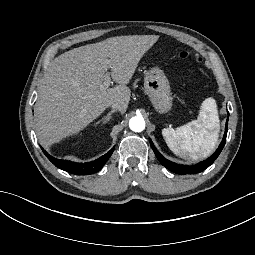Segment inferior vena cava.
I'll return each mask as SVG.
<instances>
[{"mask_svg": "<svg viewBox=\"0 0 255 255\" xmlns=\"http://www.w3.org/2000/svg\"><path fill=\"white\" fill-rule=\"evenodd\" d=\"M111 107H112V109L120 110L121 105L117 102H114V103H112Z\"/></svg>", "mask_w": 255, "mask_h": 255, "instance_id": "obj_1", "label": "inferior vena cava"}]
</instances>
